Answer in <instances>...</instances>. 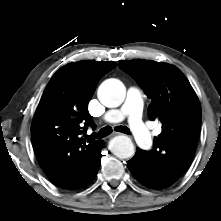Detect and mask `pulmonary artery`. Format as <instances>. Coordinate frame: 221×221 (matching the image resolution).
Returning a JSON list of instances; mask_svg holds the SVG:
<instances>
[{"label":"pulmonary artery","instance_id":"1","mask_svg":"<svg viewBox=\"0 0 221 221\" xmlns=\"http://www.w3.org/2000/svg\"><path fill=\"white\" fill-rule=\"evenodd\" d=\"M143 108V96L138 88L131 87L127 91L126 100L120 109L106 112L103 119L108 123H116L124 118L128 119L129 127L137 144L143 148L151 147L153 141L149 130L145 127L141 112Z\"/></svg>","mask_w":221,"mask_h":221}]
</instances>
